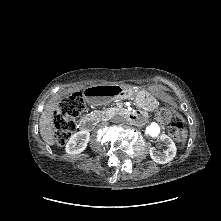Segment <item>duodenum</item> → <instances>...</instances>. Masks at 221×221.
<instances>
[{"label": "duodenum", "mask_w": 221, "mask_h": 221, "mask_svg": "<svg viewBox=\"0 0 221 221\" xmlns=\"http://www.w3.org/2000/svg\"><path fill=\"white\" fill-rule=\"evenodd\" d=\"M125 94V88L121 86H105L97 87L90 86L85 91V98L93 103H108L115 99L116 96ZM115 115L123 119H128L133 123H140L143 121L142 113L139 111H127L121 107L114 110ZM95 121V115L85 116L80 120V128L84 132H89L92 129Z\"/></svg>", "instance_id": "410a0bca"}]
</instances>
